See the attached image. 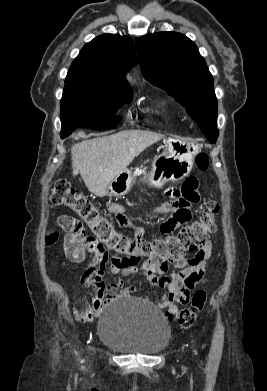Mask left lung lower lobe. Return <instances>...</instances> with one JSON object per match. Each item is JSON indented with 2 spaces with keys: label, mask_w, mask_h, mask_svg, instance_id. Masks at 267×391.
I'll return each mask as SVG.
<instances>
[{
  "label": "left lung lower lobe",
  "mask_w": 267,
  "mask_h": 391,
  "mask_svg": "<svg viewBox=\"0 0 267 391\" xmlns=\"http://www.w3.org/2000/svg\"><path fill=\"white\" fill-rule=\"evenodd\" d=\"M205 135H206V137L210 140L211 143L214 142V140L212 139V135L210 134L209 131H205Z\"/></svg>",
  "instance_id": "left-lung-lower-lobe-1"
}]
</instances>
